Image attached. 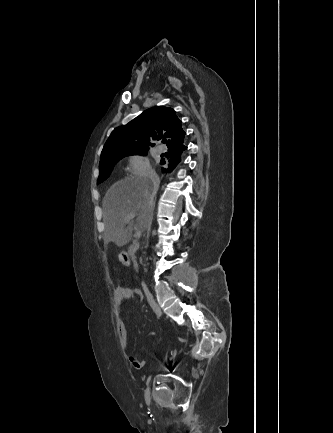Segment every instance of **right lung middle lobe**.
Returning <instances> with one entry per match:
<instances>
[{
  "mask_svg": "<svg viewBox=\"0 0 333 433\" xmlns=\"http://www.w3.org/2000/svg\"><path fill=\"white\" fill-rule=\"evenodd\" d=\"M148 149L137 150L126 153L112 154L111 156L100 160L98 183L103 182L112 172L114 165L123 157L129 155H147Z\"/></svg>",
  "mask_w": 333,
  "mask_h": 433,
  "instance_id": "1",
  "label": "right lung middle lobe"
}]
</instances>
